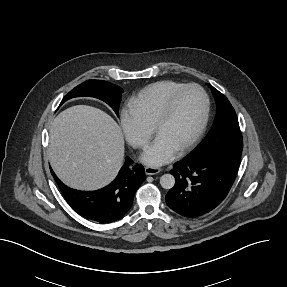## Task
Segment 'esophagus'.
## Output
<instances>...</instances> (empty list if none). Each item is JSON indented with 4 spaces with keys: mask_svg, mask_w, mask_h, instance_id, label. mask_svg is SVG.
Instances as JSON below:
<instances>
[{
    "mask_svg": "<svg viewBox=\"0 0 287 287\" xmlns=\"http://www.w3.org/2000/svg\"><path fill=\"white\" fill-rule=\"evenodd\" d=\"M161 171L160 168L158 167H146L145 168V173L146 175H156Z\"/></svg>",
    "mask_w": 287,
    "mask_h": 287,
    "instance_id": "34e87169",
    "label": "esophagus"
}]
</instances>
